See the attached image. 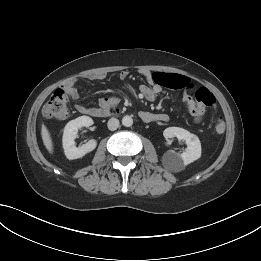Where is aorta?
I'll list each match as a JSON object with an SVG mask.
<instances>
[{
	"mask_svg": "<svg viewBox=\"0 0 261 261\" xmlns=\"http://www.w3.org/2000/svg\"><path fill=\"white\" fill-rule=\"evenodd\" d=\"M132 124H133V119H132V117L131 116H124L123 118H122V125L123 126H125V127H130V126H132Z\"/></svg>",
	"mask_w": 261,
	"mask_h": 261,
	"instance_id": "aorta-1",
	"label": "aorta"
}]
</instances>
